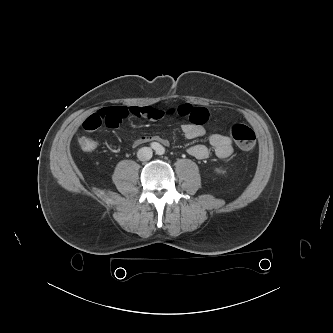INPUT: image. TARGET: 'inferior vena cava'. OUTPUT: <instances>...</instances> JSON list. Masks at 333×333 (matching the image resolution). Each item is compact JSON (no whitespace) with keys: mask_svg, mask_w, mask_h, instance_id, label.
Wrapping results in <instances>:
<instances>
[{"mask_svg":"<svg viewBox=\"0 0 333 333\" xmlns=\"http://www.w3.org/2000/svg\"><path fill=\"white\" fill-rule=\"evenodd\" d=\"M153 151L150 147H142L138 150L137 157L140 161H148L152 158Z\"/></svg>","mask_w":333,"mask_h":333,"instance_id":"602c4592","label":"inferior vena cava"}]
</instances>
